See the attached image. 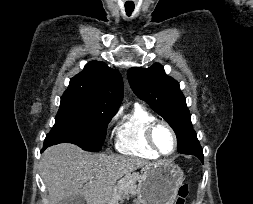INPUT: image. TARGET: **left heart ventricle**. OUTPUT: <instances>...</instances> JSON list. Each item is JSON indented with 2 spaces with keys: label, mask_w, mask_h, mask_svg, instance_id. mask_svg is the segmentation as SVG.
<instances>
[{
  "label": "left heart ventricle",
  "mask_w": 253,
  "mask_h": 204,
  "mask_svg": "<svg viewBox=\"0 0 253 204\" xmlns=\"http://www.w3.org/2000/svg\"><path fill=\"white\" fill-rule=\"evenodd\" d=\"M154 141L163 153H170L173 149L174 142L171 133L162 125L156 127L154 131Z\"/></svg>",
  "instance_id": "left-heart-ventricle-1"
}]
</instances>
